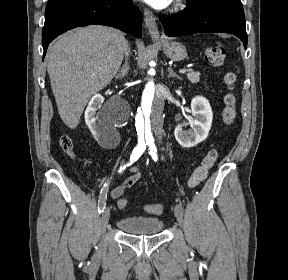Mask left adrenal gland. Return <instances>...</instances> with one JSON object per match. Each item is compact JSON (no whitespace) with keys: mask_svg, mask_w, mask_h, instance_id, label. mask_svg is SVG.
<instances>
[{"mask_svg":"<svg viewBox=\"0 0 288 280\" xmlns=\"http://www.w3.org/2000/svg\"><path fill=\"white\" fill-rule=\"evenodd\" d=\"M168 72H169V74H168V78H171V77H176V78H178V79H182L180 76H178L174 71H173V69L171 68V67H168Z\"/></svg>","mask_w":288,"mask_h":280,"instance_id":"obj_1","label":"left adrenal gland"}]
</instances>
